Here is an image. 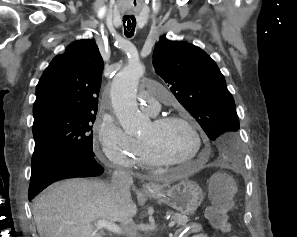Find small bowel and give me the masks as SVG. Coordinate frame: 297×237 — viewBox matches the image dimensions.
Returning a JSON list of instances; mask_svg holds the SVG:
<instances>
[{"mask_svg":"<svg viewBox=\"0 0 297 237\" xmlns=\"http://www.w3.org/2000/svg\"><path fill=\"white\" fill-rule=\"evenodd\" d=\"M190 234H192V237H208L205 233L202 232L201 226L198 223H192L189 226L178 230L175 236L188 237V235Z\"/></svg>","mask_w":297,"mask_h":237,"instance_id":"obj_1","label":"small bowel"}]
</instances>
